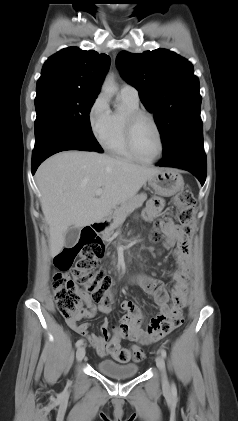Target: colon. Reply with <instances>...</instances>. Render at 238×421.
Listing matches in <instances>:
<instances>
[{
  "mask_svg": "<svg viewBox=\"0 0 238 421\" xmlns=\"http://www.w3.org/2000/svg\"><path fill=\"white\" fill-rule=\"evenodd\" d=\"M173 204L176 209L175 217L180 224L181 232L190 237L192 234V219L196 200L189 188L178 193ZM171 213H165L170 218ZM164 221L156 222V229L151 233L154 242L160 240L159 229ZM103 254L102 242L92 233H83L79 242L72 247L64 248L54 258L57 272L53 277L54 298L58 310L66 319H76L84 311L86 302H93L111 306L112 300L109 291L112 287L111 278L99 268V259ZM184 319L182 310L173 311L168 320L162 322L159 330L144 341V344L159 340L164 335L178 328ZM142 346L131 348H116L113 356L119 363L129 361L139 362L144 358Z\"/></svg>",
  "mask_w": 238,
  "mask_h": 421,
  "instance_id": "5ec220e1",
  "label": "colon"
}]
</instances>
